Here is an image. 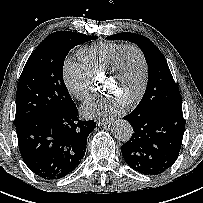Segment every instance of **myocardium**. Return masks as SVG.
Segmentation results:
<instances>
[{"mask_svg":"<svg viewBox=\"0 0 203 203\" xmlns=\"http://www.w3.org/2000/svg\"><path fill=\"white\" fill-rule=\"evenodd\" d=\"M129 50L135 51L141 59L142 78H141L137 91L124 102L126 105H130V104H133L136 101H138L142 97V95L144 94V91L146 89L147 82H148V76H149V65H148L147 57H146L144 51L135 44H126L115 54V56L113 57L111 62L102 72V74L105 76H109V75L113 74L116 71V69L118 68L124 54Z\"/></svg>","mask_w":203,"mask_h":203,"instance_id":"f54148a6","label":"myocardium"}]
</instances>
